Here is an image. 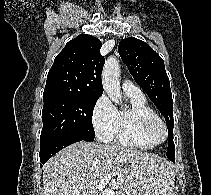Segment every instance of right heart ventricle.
<instances>
[{
    "label": "right heart ventricle",
    "instance_id": "e07e8e85",
    "mask_svg": "<svg viewBox=\"0 0 211 195\" xmlns=\"http://www.w3.org/2000/svg\"><path fill=\"white\" fill-rule=\"evenodd\" d=\"M130 102L128 109L116 110L112 141L123 147L150 150L156 144L148 140L141 131V121L148 116H157L145 96L125 94Z\"/></svg>",
    "mask_w": 211,
    "mask_h": 195
}]
</instances>
